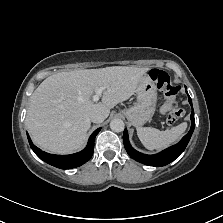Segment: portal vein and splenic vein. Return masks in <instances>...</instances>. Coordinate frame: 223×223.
Listing matches in <instances>:
<instances>
[{
  "label": "portal vein and splenic vein",
  "mask_w": 223,
  "mask_h": 223,
  "mask_svg": "<svg viewBox=\"0 0 223 223\" xmlns=\"http://www.w3.org/2000/svg\"><path fill=\"white\" fill-rule=\"evenodd\" d=\"M102 89H103V88L99 89V91H102ZM98 100H99L98 95H93L91 101H92L93 103H96Z\"/></svg>",
  "instance_id": "obj_1"
}]
</instances>
